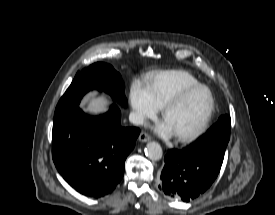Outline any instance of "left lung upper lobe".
Masks as SVG:
<instances>
[{
	"label": "left lung upper lobe",
	"instance_id": "1",
	"mask_svg": "<svg viewBox=\"0 0 275 215\" xmlns=\"http://www.w3.org/2000/svg\"><path fill=\"white\" fill-rule=\"evenodd\" d=\"M230 129L229 115H222L202 137L188 148L194 154L209 157L222 164L230 139Z\"/></svg>",
	"mask_w": 275,
	"mask_h": 215
}]
</instances>
